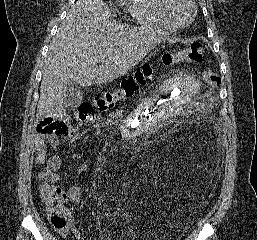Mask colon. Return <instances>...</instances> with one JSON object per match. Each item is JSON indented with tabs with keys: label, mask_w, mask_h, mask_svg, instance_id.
Wrapping results in <instances>:
<instances>
[{
	"label": "colon",
	"mask_w": 257,
	"mask_h": 240,
	"mask_svg": "<svg viewBox=\"0 0 257 240\" xmlns=\"http://www.w3.org/2000/svg\"><path fill=\"white\" fill-rule=\"evenodd\" d=\"M204 50L205 46L202 43H195L183 51L166 52L161 56L159 64L162 67H171L183 61L199 62L203 58ZM155 72L156 69L153 65H145L141 70L123 79L117 91L97 97L93 104L81 105L77 111L78 119L81 122H89L93 118V109L104 111L114 106L118 100L133 96L140 88L154 79ZM204 80L212 89L218 88L221 84L220 77L211 69H207L204 72ZM64 128V123L53 120L52 118H44L38 123L37 131L42 134H52L60 133ZM42 198L47 208L51 225L56 230H67L68 219L64 207L67 199L66 192L57 186H51L43 192Z\"/></svg>",
	"instance_id": "1"
}]
</instances>
